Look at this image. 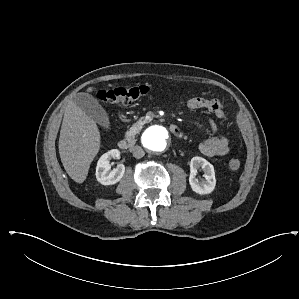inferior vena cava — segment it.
Masks as SVG:
<instances>
[{"label":"inferior vena cava","mask_w":299,"mask_h":299,"mask_svg":"<svg viewBox=\"0 0 299 299\" xmlns=\"http://www.w3.org/2000/svg\"><path fill=\"white\" fill-rule=\"evenodd\" d=\"M131 152H132L133 156L137 159H140L145 155L144 150L140 146H134L131 149Z\"/></svg>","instance_id":"602c4592"}]
</instances>
